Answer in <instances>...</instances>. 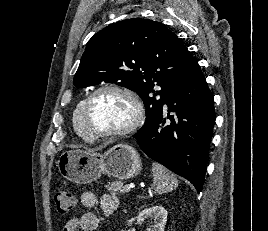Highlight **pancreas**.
Returning <instances> with one entry per match:
<instances>
[{
	"label": "pancreas",
	"mask_w": 268,
	"mask_h": 231,
	"mask_svg": "<svg viewBox=\"0 0 268 231\" xmlns=\"http://www.w3.org/2000/svg\"><path fill=\"white\" fill-rule=\"evenodd\" d=\"M105 188L112 194L113 196L123 194L124 193V186L122 182L114 181L107 185H105Z\"/></svg>",
	"instance_id": "pancreas-1"
}]
</instances>
